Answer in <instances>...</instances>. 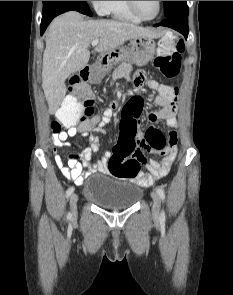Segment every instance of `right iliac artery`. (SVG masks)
Listing matches in <instances>:
<instances>
[{
  "label": "right iliac artery",
  "instance_id": "1",
  "mask_svg": "<svg viewBox=\"0 0 233 295\" xmlns=\"http://www.w3.org/2000/svg\"><path fill=\"white\" fill-rule=\"evenodd\" d=\"M74 192V187H70L67 191H66V197L69 198L71 196V194ZM68 218L71 217V214L68 213Z\"/></svg>",
  "mask_w": 233,
  "mask_h": 295
}]
</instances>
